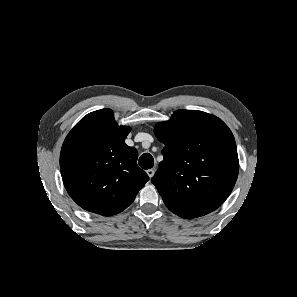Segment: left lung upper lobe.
<instances>
[{
    "instance_id": "left-lung-upper-lobe-1",
    "label": "left lung upper lobe",
    "mask_w": 297,
    "mask_h": 297,
    "mask_svg": "<svg viewBox=\"0 0 297 297\" xmlns=\"http://www.w3.org/2000/svg\"><path fill=\"white\" fill-rule=\"evenodd\" d=\"M165 144L163 161L151 181L165 205L192 219L217 209L237 180L239 160L234 136L218 117L195 110H177L155 127Z\"/></svg>"
}]
</instances>
